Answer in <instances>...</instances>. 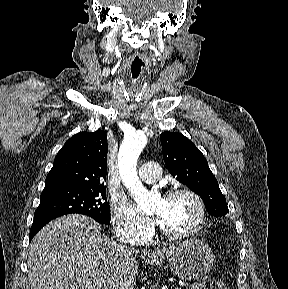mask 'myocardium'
I'll use <instances>...</instances> for the list:
<instances>
[{"label": "myocardium", "mask_w": 288, "mask_h": 289, "mask_svg": "<svg viewBox=\"0 0 288 289\" xmlns=\"http://www.w3.org/2000/svg\"><path fill=\"white\" fill-rule=\"evenodd\" d=\"M182 195L189 196L190 198L194 200L198 208V219L190 230L186 232H181V233L171 232L163 224L157 221V227L160 233L166 238L171 239V240H185V239H189V238L196 236L204 227L205 222H206L205 203L203 199L201 198V196L195 191L189 188H174V189L168 190L163 195L162 199L169 200L171 198L182 196Z\"/></svg>", "instance_id": "myocardium-1"}]
</instances>
